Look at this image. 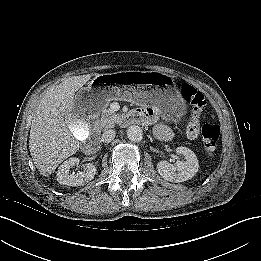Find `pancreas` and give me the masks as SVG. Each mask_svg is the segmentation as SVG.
<instances>
[{"mask_svg": "<svg viewBox=\"0 0 261 261\" xmlns=\"http://www.w3.org/2000/svg\"><path fill=\"white\" fill-rule=\"evenodd\" d=\"M119 115L113 112L111 109H104L101 114V118L97 121V130L113 128L117 123Z\"/></svg>", "mask_w": 261, "mask_h": 261, "instance_id": "1", "label": "pancreas"}]
</instances>
